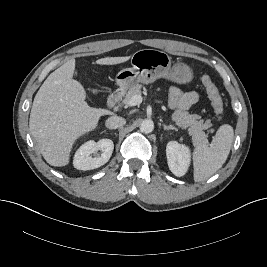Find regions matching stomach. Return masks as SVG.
<instances>
[{
	"instance_id": "stomach-1",
	"label": "stomach",
	"mask_w": 267,
	"mask_h": 267,
	"mask_svg": "<svg viewBox=\"0 0 267 267\" xmlns=\"http://www.w3.org/2000/svg\"><path fill=\"white\" fill-rule=\"evenodd\" d=\"M132 68H125L118 72L116 83L121 90H129L138 83L149 84L159 78H165L178 84H185L192 80L191 68L183 63L171 64V57L159 50L142 49L131 57Z\"/></svg>"
}]
</instances>
